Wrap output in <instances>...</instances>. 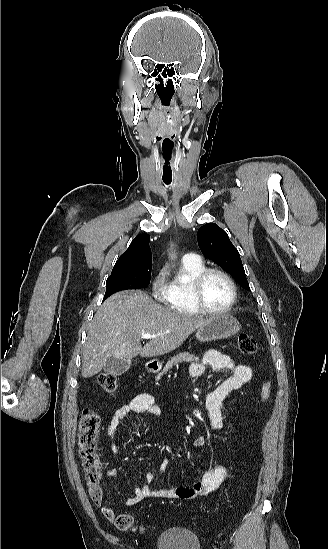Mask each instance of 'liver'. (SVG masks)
Masks as SVG:
<instances>
[{"mask_svg": "<svg viewBox=\"0 0 328 549\" xmlns=\"http://www.w3.org/2000/svg\"><path fill=\"white\" fill-rule=\"evenodd\" d=\"M208 319L181 315L155 303L144 291H120L99 307L84 345L82 377L102 371L108 357H158L178 349ZM164 333V335H161ZM142 335H159L144 347Z\"/></svg>", "mask_w": 328, "mask_h": 549, "instance_id": "liver-1", "label": "liver"}]
</instances>
